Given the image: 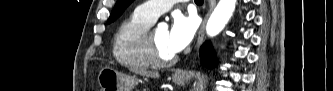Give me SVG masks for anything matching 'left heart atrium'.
Segmentation results:
<instances>
[{"mask_svg":"<svg viewBox=\"0 0 333 91\" xmlns=\"http://www.w3.org/2000/svg\"><path fill=\"white\" fill-rule=\"evenodd\" d=\"M197 29L196 17L176 15L168 31V46L176 54L185 49L192 41Z\"/></svg>","mask_w":333,"mask_h":91,"instance_id":"1","label":"left heart atrium"}]
</instances>
